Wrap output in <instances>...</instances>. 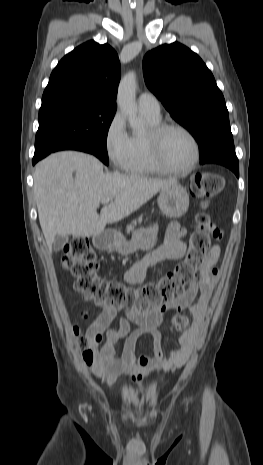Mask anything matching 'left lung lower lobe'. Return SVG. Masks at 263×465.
I'll return each instance as SVG.
<instances>
[{"mask_svg":"<svg viewBox=\"0 0 263 465\" xmlns=\"http://www.w3.org/2000/svg\"><path fill=\"white\" fill-rule=\"evenodd\" d=\"M205 163H218L231 169L237 177H239V162L235 152L216 154L211 157L205 158L201 161Z\"/></svg>","mask_w":263,"mask_h":465,"instance_id":"1","label":"left lung lower lobe"}]
</instances>
